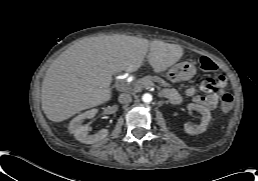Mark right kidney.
<instances>
[{"mask_svg": "<svg viewBox=\"0 0 258 181\" xmlns=\"http://www.w3.org/2000/svg\"><path fill=\"white\" fill-rule=\"evenodd\" d=\"M96 113V109L88 110L78 115L70 122L68 129L70 133L74 135L76 140L85 144H93L107 137L109 133L107 129H103L96 134L89 135L88 126L82 124L86 119H93Z\"/></svg>", "mask_w": 258, "mask_h": 181, "instance_id": "right-kidney-1", "label": "right kidney"}]
</instances>
